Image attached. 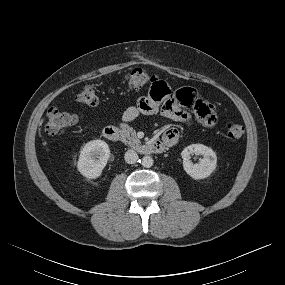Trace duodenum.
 I'll use <instances>...</instances> for the list:
<instances>
[{"label": "duodenum", "mask_w": 285, "mask_h": 285, "mask_svg": "<svg viewBox=\"0 0 285 285\" xmlns=\"http://www.w3.org/2000/svg\"><path fill=\"white\" fill-rule=\"evenodd\" d=\"M103 135L106 139L112 142H123V134L121 130L116 126H106L103 129ZM168 145L162 140H155L148 142L137 149L146 155L149 154H158L165 151Z\"/></svg>", "instance_id": "410a0bca"}]
</instances>
